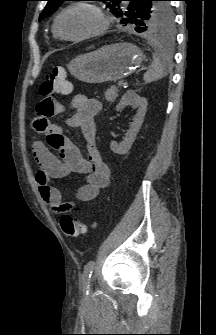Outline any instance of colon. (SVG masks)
I'll use <instances>...</instances> for the list:
<instances>
[{
  "label": "colon",
  "mask_w": 216,
  "mask_h": 335,
  "mask_svg": "<svg viewBox=\"0 0 216 335\" xmlns=\"http://www.w3.org/2000/svg\"><path fill=\"white\" fill-rule=\"evenodd\" d=\"M70 90L71 86L66 78V71L61 66L53 68L39 86V93L43 96V99L46 98L47 94H54L55 96L57 93H69ZM51 141H54V138ZM95 226V222L85 223L78 217L70 214L63 215L60 220V227L63 233L70 238L83 235Z\"/></svg>",
  "instance_id": "5ec220e1"
}]
</instances>
